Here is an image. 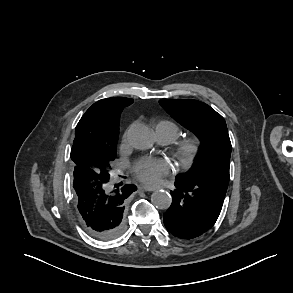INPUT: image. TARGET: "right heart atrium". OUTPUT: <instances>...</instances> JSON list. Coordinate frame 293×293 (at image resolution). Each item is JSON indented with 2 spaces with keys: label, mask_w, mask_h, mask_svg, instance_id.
Instances as JSON below:
<instances>
[{
  "label": "right heart atrium",
  "mask_w": 293,
  "mask_h": 293,
  "mask_svg": "<svg viewBox=\"0 0 293 293\" xmlns=\"http://www.w3.org/2000/svg\"><path fill=\"white\" fill-rule=\"evenodd\" d=\"M123 139H124V141L126 140V135L124 136V138H123Z\"/></svg>",
  "instance_id": "obj_1"
}]
</instances>
